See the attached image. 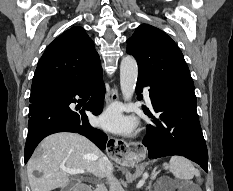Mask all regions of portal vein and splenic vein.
<instances>
[{
  "label": "portal vein and splenic vein",
  "instance_id": "1",
  "mask_svg": "<svg viewBox=\"0 0 233 191\" xmlns=\"http://www.w3.org/2000/svg\"><path fill=\"white\" fill-rule=\"evenodd\" d=\"M60 169L68 174H85V171L82 169H70L63 165L60 166Z\"/></svg>",
  "mask_w": 233,
  "mask_h": 191
}]
</instances>
